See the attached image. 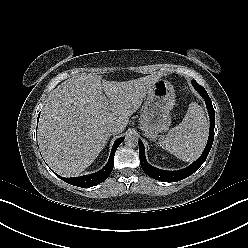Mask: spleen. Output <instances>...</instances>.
Masks as SVG:
<instances>
[{
	"instance_id": "spleen-1",
	"label": "spleen",
	"mask_w": 248,
	"mask_h": 248,
	"mask_svg": "<svg viewBox=\"0 0 248 248\" xmlns=\"http://www.w3.org/2000/svg\"><path fill=\"white\" fill-rule=\"evenodd\" d=\"M209 122L203 108L196 102L189 105L183 121L159 142L160 146L186 161H195L203 152L208 140Z\"/></svg>"
}]
</instances>
